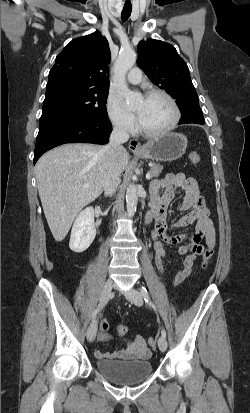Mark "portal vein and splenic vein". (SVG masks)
I'll use <instances>...</instances> for the list:
<instances>
[{
  "mask_svg": "<svg viewBox=\"0 0 250 413\" xmlns=\"http://www.w3.org/2000/svg\"><path fill=\"white\" fill-rule=\"evenodd\" d=\"M146 179L147 180H150L151 179V174L150 173H147L146 174ZM89 186V184H85V187H88Z\"/></svg>",
  "mask_w": 250,
  "mask_h": 413,
  "instance_id": "obj_1",
  "label": "portal vein and splenic vein"
}]
</instances>
